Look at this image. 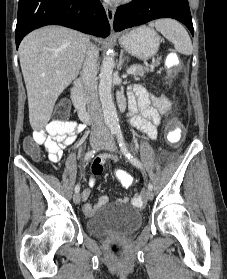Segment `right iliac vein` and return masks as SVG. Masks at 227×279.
<instances>
[{"mask_svg":"<svg viewBox=\"0 0 227 279\" xmlns=\"http://www.w3.org/2000/svg\"><path fill=\"white\" fill-rule=\"evenodd\" d=\"M102 143H103V138H98V139L92 140L90 144H91L92 149L97 150L102 145ZM73 201L75 204L80 203L81 197H80L79 193H75L73 195Z\"/></svg>","mask_w":227,"mask_h":279,"instance_id":"obj_1","label":"right iliac vein"}]
</instances>
